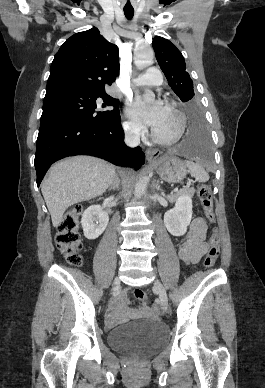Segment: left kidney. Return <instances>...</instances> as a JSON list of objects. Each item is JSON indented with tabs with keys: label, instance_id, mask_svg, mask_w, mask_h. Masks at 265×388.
<instances>
[{
	"label": "left kidney",
	"instance_id": "5707ae66",
	"mask_svg": "<svg viewBox=\"0 0 265 388\" xmlns=\"http://www.w3.org/2000/svg\"><path fill=\"white\" fill-rule=\"evenodd\" d=\"M192 218V200L190 196H178L175 208L164 214V224L172 236H184Z\"/></svg>",
	"mask_w": 265,
	"mask_h": 388
}]
</instances>
